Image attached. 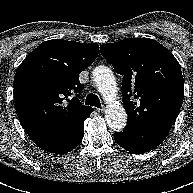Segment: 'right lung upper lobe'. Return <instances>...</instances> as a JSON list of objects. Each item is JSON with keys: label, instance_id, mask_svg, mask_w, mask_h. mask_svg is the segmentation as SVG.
<instances>
[{"label": "right lung upper lobe", "instance_id": "right-lung-upper-lobe-1", "mask_svg": "<svg viewBox=\"0 0 193 193\" xmlns=\"http://www.w3.org/2000/svg\"><path fill=\"white\" fill-rule=\"evenodd\" d=\"M98 52V44L54 39L23 60L14 78V99L29 136L60 129L93 112L78 99L83 89L78 75Z\"/></svg>", "mask_w": 193, "mask_h": 193}]
</instances>
